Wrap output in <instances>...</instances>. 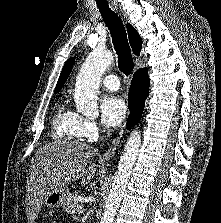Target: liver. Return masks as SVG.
<instances>
[{
  "mask_svg": "<svg viewBox=\"0 0 221 223\" xmlns=\"http://www.w3.org/2000/svg\"><path fill=\"white\" fill-rule=\"evenodd\" d=\"M94 152L88 144L67 140L54 141L37 150L27 180L28 223H34L44 199L53 190L80 178L85 185L94 178L95 163L87 167Z\"/></svg>",
  "mask_w": 221,
  "mask_h": 223,
  "instance_id": "1",
  "label": "liver"
}]
</instances>
